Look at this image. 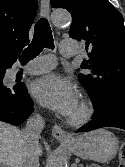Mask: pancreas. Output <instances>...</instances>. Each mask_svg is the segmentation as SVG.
Returning a JSON list of instances; mask_svg holds the SVG:
<instances>
[{
    "instance_id": "obj_1",
    "label": "pancreas",
    "mask_w": 125,
    "mask_h": 167,
    "mask_svg": "<svg viewBox=\"0 0 125 167\" xmlns=\"http://www.w3.org/2000/svg\"><path fill=\"white\" fill-rule=\"evenodd\" d=\"M91 167H100V166H98V165H92Z\"/></svg>"
}]
</instances>
